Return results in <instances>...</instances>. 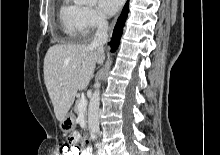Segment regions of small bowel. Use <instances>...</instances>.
<instances>
[{
  "label": "small bowel",
  "instance_id": "obj_1",
  "mask_svg": "<svg viewBox=\"0 0 220 155\" xmlns=\"http://www.w3.org/2000/svg\"><path fill=\"white\" fill-rule=\"evenodd\" d=\"M69 135L67 137V144H80V145H87V140H82L81 133L78 130H69ZM67 146V145H63ZM62 151V150H61ZM81 155H90V150L86 149L81 152Z\"/></svg>",
  "mask_w": 220,
  "mask_h": 155
}]
</instances>
